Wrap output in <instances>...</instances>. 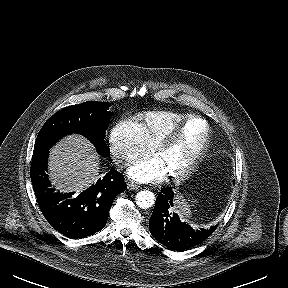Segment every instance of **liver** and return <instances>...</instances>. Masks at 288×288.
Returning <instances> with one entry per match:
<instances>
[{"mask_svg":"<svg viewBox=\"0 0 288 288\" xmlns=\"http://www.w3.org/2000/svg\"><path fill=\"white\" fill-rule=\"evenodd\" d=\"M48 169L56 190L79 193L97 180L99 157L86 138L69 135L51 149Z\"/></svg>","mask_w":288,"mask_h":288,"instance_id":"1","label":"liver"}]
</instances>
